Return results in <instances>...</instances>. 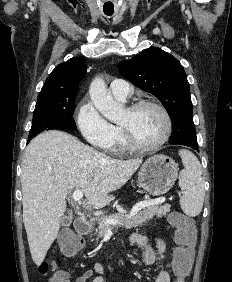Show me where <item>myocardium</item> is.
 I'll use <instances>...</instances> for the list:
<instances>
[{"mask_svg": "<svg viewBox=\"0 0 232 282\" xmlns=\"http://www.w3.org/2000/svg\"><path fill=\"white\" fill-rule=\"evenodd\" d=\"M144 106L154 107L162 114L165 120V132L162 138L158 140L157 142L150 144V145H143L135 141L130 130L126 126L120 124L119 127L121 129L122 136H123L126 146L129 149L134 150V151L147 152V151L156 150L160 148L161 146H163L169 140L171 133H172V128H173L172 118L169 112L167 111V109L162 104L158 103L157 101L149 100V99H142V100L136 101L133 104H131L127 108V110L133 112Z\"/></svg>", "mask_w": 232, "mask_h": 282, "instance_id": "1", "label": "myocardium"}]
</instances>
